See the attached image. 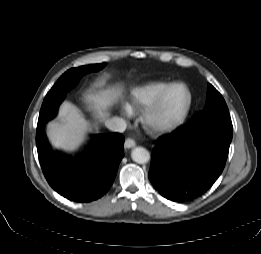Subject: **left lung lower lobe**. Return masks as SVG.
<instances>
[{"instance_id":"1","label":"left lung lower lobe","mask_w":261,"mask_h":254,"mask_svg":"<svg viewBox=\"0 0 261 254\" xmlns=\"http://www.w3.org/2000/svg\"><path fill=\"white\" fill-rule=\"evenodd\" d=\"M232 133V122H188L171 135L159 137L148 174L155 189L174 202L203 195L224 169Z\"/></svg>"}]
</instances>
